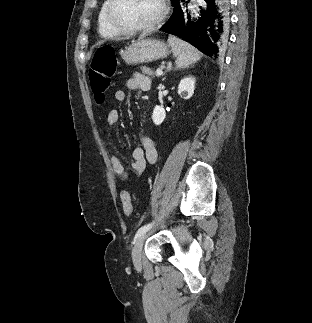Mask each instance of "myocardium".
Wrapping results in <instances>:
<instances>
[{"instance_id":"obj_1","label":"myocardium","mask_w":312,"mask_h":323,"mask_svg":"<svg viewBox=\"0 0 312 323\" xmlns=\"http://www.w3.org/2000/svg\"><path fill=\"white\" fill-rule=\"evenodd\" d=\"M106 19L112 23V31H149V27H154V25H163L164 21H167L170 15V0H156L158 6L157 8V18H150L149 20H121L117 18L116 11L119 7V2L117 0H106Z\"/></svg>"}]
</instances>
